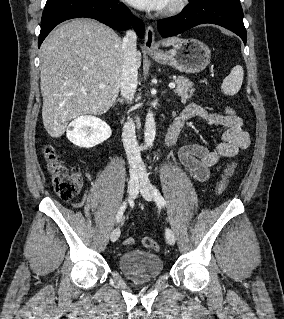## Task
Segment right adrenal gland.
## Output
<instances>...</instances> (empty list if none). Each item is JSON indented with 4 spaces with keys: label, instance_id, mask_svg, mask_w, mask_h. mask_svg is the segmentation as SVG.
Segmentation results:
<instances>
[{
    "label": "right adrenal gland",
    "instance_id": "right-adrenal-gland-1",
    "mask_svg": "<svg viewBox=\"0 0 284 319\" xmlns=\"http://www.w3.org/2000/svg\"><path fill=\"white\" fill-rule=\"evenodd\" d=\"M117 102L123 103V102H124V99H123V98H118L114 103H117Z\"/></svg>",
    "mask_w": 284,
    "mask_h": 319
}]
</instances>
